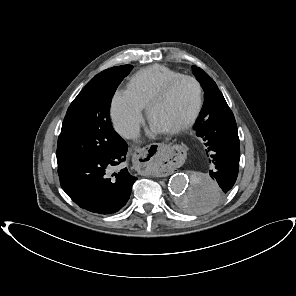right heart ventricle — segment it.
Instances as JSON below:
<instances>
[{
    "mask_svg": "<svg viewBox=\"0 0 296 296\" xmlns=\"http://www.w3.org/2000/svg\"><path fill=\"white\" fill-rule=\"evenodd\" d=\"M179 76H182L180 72L163 65L148 66L130 78L127 92L142 108H146L155 95Z\"/></svg>",
    "mask_w": 296,
    "mask_h": 296,
    "instance_id": "e07e8e85",
    "label": "right heart ventricle"
}]
</instances>
